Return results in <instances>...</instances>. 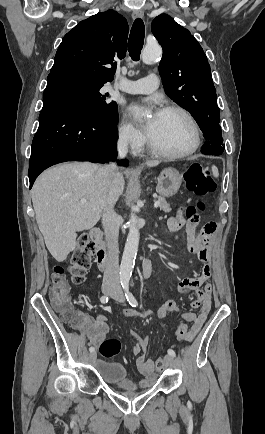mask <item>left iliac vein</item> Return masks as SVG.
Here are the masks:
<instances>
[{
  "label": "left iliac vein",
  "mask_w": 265,
  "mask_h": 434,
  "mask_svg": "<svg viewBox=\"0 0 265 434\" xmlns=\"http://www.w3.org/2000/svg\"><path fill=\"white\" fill-rule=\"evenodd\" d=\"M111 297L118 301V302H125V296L121 290V288H119L118 286L114 288V291L110 294ZM164 367H173L174 366V357H172L171 355H166L164 357V363H163Z\"/></svg>",
  "instance_id": "left-iliac-vein-1"
}]
</instances>
